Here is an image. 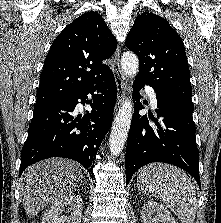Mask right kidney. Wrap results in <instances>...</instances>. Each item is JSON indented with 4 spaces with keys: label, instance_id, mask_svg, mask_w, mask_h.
Wrapping results in <instances>:
<instances>
[{
    "label": "right kidney",
    "instance_id": "1",
    "mask_svg": "<svg viewBox=\"0 0 221 223\" xmlns=\"http://www.w3.org/2000/svg\"><path fill=\"white\" fill-rule=\"evenodd\" d=\"M66 209L70 216L62 212ZM83 201L80 195H69L56 201L46 211L41 223H81Z\"/></svg>",
    "mask_w": 221,
    "mask_h": 223
}]
</instances>
